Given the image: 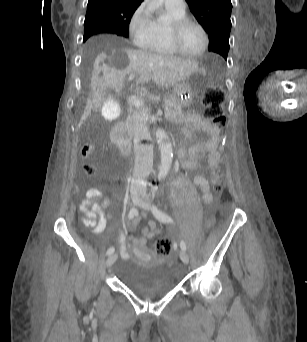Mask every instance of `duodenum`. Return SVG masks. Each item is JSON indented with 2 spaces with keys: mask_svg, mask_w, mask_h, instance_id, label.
I'll return each mask as SVG.
<instances>
[{
  "mask_svg": "<svg viewBox=\"0 0 307 342\" xmlns=\"http://www.w3.org/2000/svg\"><path fill=\"white\" fill-rule=\"evenodd\" d=\"M111 139L114 146L122 155L128 153V140L125 133V128L122 122H118L112 129ZM181 149L178 150L180 153Z\"/></svg>",
  "mask_w": 307,
  "mask_h": 342,
  "instance_id": "obj_1",
  "label": "duodenum"
}]
</instances>
